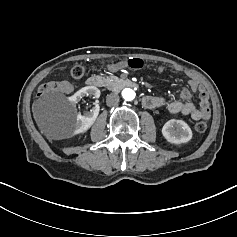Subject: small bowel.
Segmentation results:
<instances>
[{
    "label": "small bowel",
    "instance_id": "obj_1",
    "mask_svg": "<svg viewBox=\"0 0 237 237\" xmlns=\"http://www.w3.org/2000/svg\"><path fill=\"white\" fill-rule=\"evenodd\" d=\"M124 62L113 63L108 66L109 70L114 72L123 68ZM159 72L165 70L164 66L158 68ZM175 70L180 71V67H175ZM52 90L60 93H71L74 89L73 85L68 81L51 82ZM199 92V104H195L190 100L192 92ZM143 106L147 109H157L167 106L172 114L188 115L193 120L208 119L210 117L209 95L206 89L201 85L196 77L189 75L188 87H185L180 92L179 98L170 101L169 103L162 97L144 95L141 99Z\"/></svg>",
    "mask_w": 237,
    "mask_h": 237
}]
</instances>
